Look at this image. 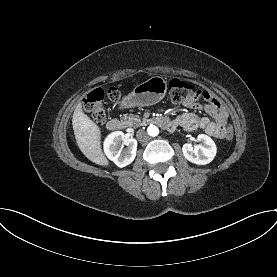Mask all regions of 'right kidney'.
Instances as JSON below:
<instances>
[{
    "instance_id": "1",
    "label": "right kidney",
    "mask_w": 277,
    "mask_h": 277,
    "mask_svg": "<svg viewBox=\"0 0 277 277\" xmlns=\"http://www.w3.org/2000/svg\"><path fill=\"white\" fill-rule=\"evenodd\" d=\"M127 148L122 151L121 145ZM137 151V141L134 138H127L123 132L116 131L109 134L104 141V152L106 156L118 167H125L131 164Z\"/></svg>"
}]
</instances>
